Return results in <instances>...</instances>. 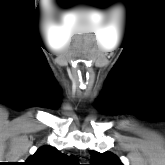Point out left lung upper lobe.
I'll list each match as a JSON object with an SVG mask.
<instances>
[{
	"mask_svg": "<svg viewBox=\"0 0 165 165\" xmlns=\"http://www.w3.org/2000/svg\"><path fill=\"white\" fill-rule=\"evenodd\" d=\"M90 165H123L119 158L111 152L99 153L91 150Z\"/></svg>",
	"mask_w": 165,
	"mask_h": 165,
	"instance_id": "left-lung-upper-lobe-1",
	"label": "left lung upper lobe"
}]
</instances>
